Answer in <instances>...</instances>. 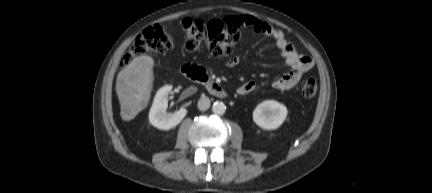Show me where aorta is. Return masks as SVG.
<instances>
[{"label":"aorta","instance_id":"1","mask_svg":"<svg viewBox=\"0 0 432 193\" xmlns=\"http://www.w3.org/2000/svg\"><path fill=\"white\" fill-rule=\"evenodd\" d=\"M212 111L217 115H223L226 111V106L223 102L216 101L212 106Z\"/></svg>","mask_w":432,"mask_h":193}]
</instances>
